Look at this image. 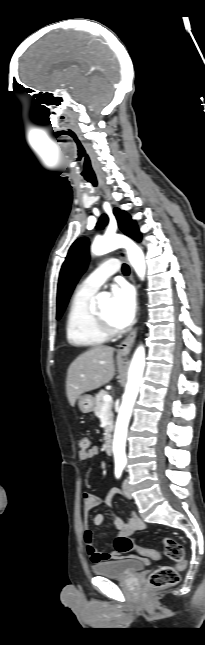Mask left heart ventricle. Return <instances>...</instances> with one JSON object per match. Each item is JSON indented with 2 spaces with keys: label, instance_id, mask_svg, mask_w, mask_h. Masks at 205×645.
<instances>
[{
  "label": "left heart ventricle",
  "instance_id": "left-heart-ventricle-1",
  "mask_svg": "<svg viewBox=\"0 0 205 645\" xmlns=\"http://www.w3.org/2000/svg\"><path fill=\"white\" fill-rule=\"evenodd\" d=\"M98 311L101 313V315L112 325L115 326L114 320H113V314H112V304L111 303H106L102 307L98 309Z\"/></svg>",
  "mask_w": 205,
  "mask_h": 645
}]
</instances>
